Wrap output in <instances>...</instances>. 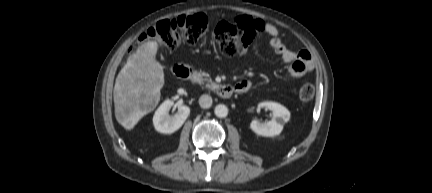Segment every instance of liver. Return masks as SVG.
<instances>
[{
  "label": "liver",
  "instance_id": "obj_1",
  "mask_svg": "<svg viewBox=\"0 0 432 193\" xmlns=\"http://www.w3.org/2000/svg\"><path fill=\"white\" fill-rule=\"evenodd\" d=\"M158 44L148 41L129 56L114 86L117 121L131 130L159 103L164 85L163 66L156 60Z\"/></svg>",
  "mask_w": 432,
  "mask_h": 193
}]
</instances>
